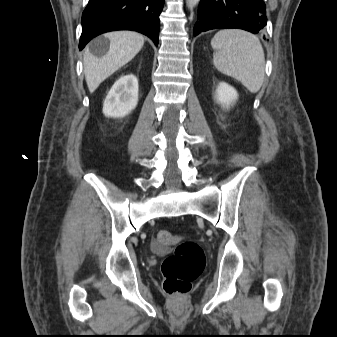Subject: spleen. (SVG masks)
Here are the masks:
<instances>
[{
    "label": "spleen",
    "mask_w": 337,
    "mask_h": 337,
    "mask_svg": "<svg viewBox=\"0 0 337 337\" xmlns=\"http://www.w3.org/2000/svg\"><path fill=\"white\" fill-rule=\"evenodd\" d=\"M218 71L257 93L264 81L265 57L257 36L239 29L221 30L211 40Z\"/></svg>",
    "instance_id": "spleen-1"
}]
</instances>
